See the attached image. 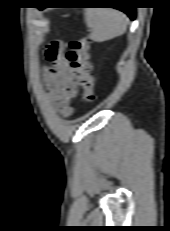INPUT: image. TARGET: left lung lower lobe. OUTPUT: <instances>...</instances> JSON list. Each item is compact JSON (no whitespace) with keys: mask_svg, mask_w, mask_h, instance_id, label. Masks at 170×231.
<instances>
[{"mask_svg":"<svg viewBox=\"0 0 170 231\" xmlns=\"http://www.w3.org/2000/svg\"><path fill=\"white\" fill-rule=\"evenodd\" d=\"M118 7H115L116 9H119L123 12H125L131 20L135 19V7H123V4H117Z\"/></svg>","mask_w":170,"mask_h":231,"instance_id":"obj_1","label":"left lung lower lobe"}]
</instances>
